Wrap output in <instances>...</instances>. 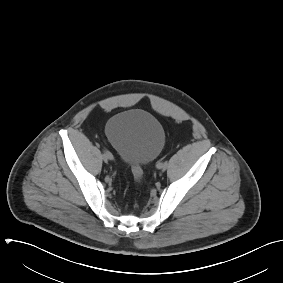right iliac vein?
Returning <instances> with one entry per match:
<instances>
[{
  "label": "right iliac vein",
  "instance_id": "63e3f726",
  "mask_svg": "<svg viewBox=\"0 0 283 283\" xmlns=\"http://www.w3.org/2000/svg\"><path fill=\"white\" fill-rule=\"evenodd\" d=\"M112 159V156L109 154H103V160L107 163L109 160Z\"/></svg>",
  "mask_w": 283,
  "mask_h": 283
}]
</instances>
